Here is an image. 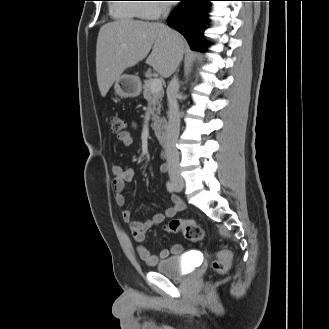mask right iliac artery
<instances>
[{"label": "right iliac artery", "mask_w": 329, "mask_h": 329, "mask_svg": "<svg viewBox=\"0 0 329 329\" xmlns=\"http://www.w3.org/2000/svg\"><path fill=\"white\" fill-rule=\"evenodd\" d=\"M166 187H167V190L170 192V193H173L175 191V187H174V184L170 181H168L166 183Z\"/></svg>", "instance_id": "obj_1"}]
</instances>
